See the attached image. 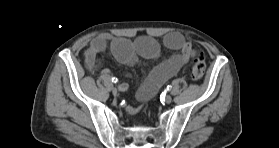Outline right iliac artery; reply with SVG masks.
<instances>
[{
	"mask_svg": "<svg viewBox=\"0 0 279 148\" xmlns=\"http://www.w3.org/2000/svg\"><path fill=\"white\" fill-rule=\"evenodd\" d=\"M112 82H113V83H117V82H118V79H117L116 77H113V78H112ZM126 89H127V87H123V88H121L120 90H121V91H125Z\"/></svg>",
	"mask_w": 279,
	"mask_h": 148,
	"instance_id": "1",
	"label": "right iliac artery"
}]
</instances>
